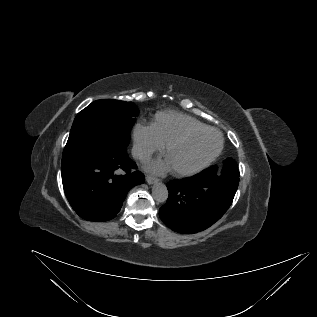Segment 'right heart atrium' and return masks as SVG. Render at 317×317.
<instances>
[{
	"label": "right heart atrium",
	"instance_id": "right-heart-atrium-1",
	"mask_svg": "<svg viewBox=\"0 0 317 317\" xmlns=\"http://www.w3.org/2000/svg\"><path fill=\"white\" fill-rule=\"evenodd\" d=\"M132 152L140 160L149 158L155 152L162 150L163 145L155 136L151 125L138 122L132 130Z\"/></svg>",
	"mask_w": 317,
	"mask_h": 317
}]
</instances>
